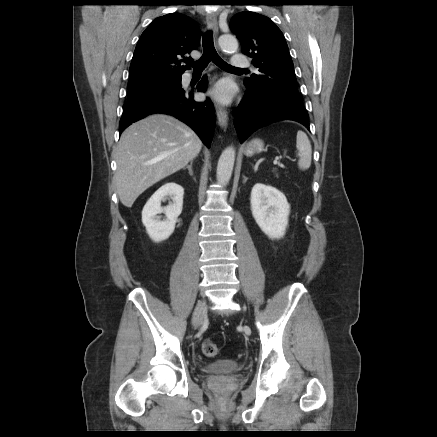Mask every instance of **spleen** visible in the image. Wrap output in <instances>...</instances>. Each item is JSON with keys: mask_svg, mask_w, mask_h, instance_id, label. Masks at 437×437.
I'll return each mask as SVG.
<instances>
[{"mask_svg": "<svg viewBox=\"0 0 437 437\" xmlns=\"http://www.w3.org/2000/svg\"><path fill=\"white\" fill-rule=\"evenodd\" d=\"M296 147L299 156L298 167L301 170H307L311 165L312 147L305 132H297Z\"/></svg>", "mask_w": 437, "mask_h": 437, "instance_id": "1", "label": "spleen"}]
</instances>
